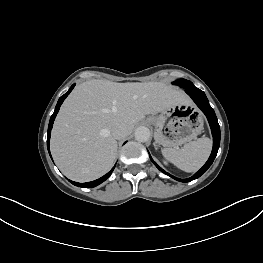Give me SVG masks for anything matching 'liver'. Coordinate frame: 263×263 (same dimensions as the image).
<instances>
[{
  "mask_svg": "<svg viewBox=\"0 0 263 263\" xmlns=\"http://www.w3.org/2000/svg\"><path fill=\"white\" fill-rule=\"evenodd\" d=\"M187 101L183 91L160 82H83L56 117L50 141L55 163L71 180H95L114 163L118 147L114 126L124 124L129 135L146 115Z\"/></svg>",
  "mask_w": 263,
  "mask_h": 263,
  "instance_id": "obj_1",
  "label": "liver"
}]
</instances>
